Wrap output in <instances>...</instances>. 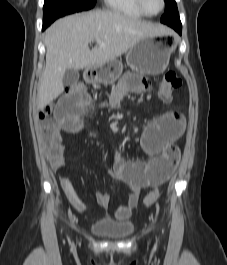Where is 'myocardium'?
Masks as SVG:
<instances>
[{"label":"myocardium","mask_w":227,"mask_h":265,"mask_svg":"<svg viewBox=\"0 0 227 265\" xmlns=\"http://www.w3.org/2000/svg\"><path fill=\"white\" fill-rule=\"evenodd\" d=\"M160 2H161L160 10L158 12H156V13H149L144 7V1L143 0H136V3H137V6H138L139 10L142 12V14L144 16H148V17L157 16L164 10V8H165V0H160Z\"/></svg>","instance_id":"f54148a6"}]
</instances>
